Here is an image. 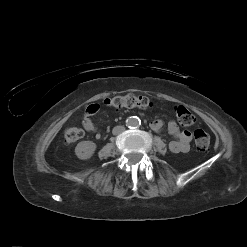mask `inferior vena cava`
I'll return each mask as SVG.
<instances>
[{
  "mask_svg": "<svg viewBox=\"0 0 247 247\" xmlns=\"http://www.w3.org/2000/svg\"><path fill=\"white\" fill-rule=\"evenodd\" d=\"M124 130H125L124 126H115L112 130V133L114 135H118V134L122 133Z\"/></svg>",
  "mask_w": 247,
  "mask_h": 247,
  "instance_id": "obj_1",
  "label": "inferior vena cava"
}]
</instances>
